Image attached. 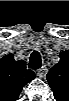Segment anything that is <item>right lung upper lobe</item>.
<instances>
[{
  "mask_svg": "<svg viewBox=\"0 0 69 101\" xmlns=\"http://www.w3.org/2000/svg\"><path fill=\"white\" fill-rule=\"evenodd\" d=\"M33 71L26 69L25 61H15L12 54L0 60V90L11 100H16L22 88L35 79Z\"/></svg>",
  "mask_w": 69,
  "mask_h": 101,
  "instance_id": "obj_1",
  "label": "right lung upper lobe"
}]
</instances>
